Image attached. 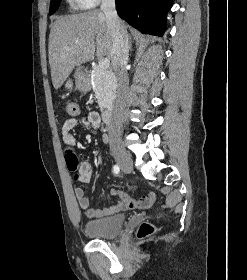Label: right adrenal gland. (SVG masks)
<instances>
[{"label":"right adrenal gland","mask_w":247,"mask_h":280,"mask_svg":"<svg viewBox=\"0 0 247 280\" xmlns=\"http://www.w3.org/2000/svg\"><path fill=\"white\" fill-rule=\"evenodd\" d=\"M131 46H132V45H131V42H130V43H129V48H130V49H131Z\"/></svg>","instance_id":"right-adrenal-gland-1"}]
</instances>
